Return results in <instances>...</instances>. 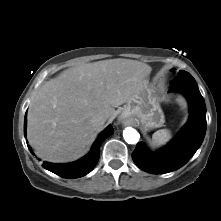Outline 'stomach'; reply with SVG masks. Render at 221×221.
<instances>
[{
	"instance_id": "obj_1",
	"label": "stomach",
	"mask_w": 221,
	"mask_h": 221,
	"mask_svg": "<svg viewBox=\"0 0 221 221\" xmlns=\"http://www.w3.org/2000/svg\"><path fill=\"white\" fill-rule=\"evenodd\" d=\"M122 116L139 122L145 129L159 128L165 121L159 100L147 84L124 106Z\"/></svg>"
}]
</instances>
